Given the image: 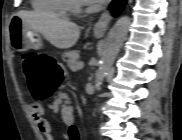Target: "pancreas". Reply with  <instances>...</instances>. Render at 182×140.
I'll return each mask as SVG.
<instances>
[{
	"label": "pancreas",
	"instance_id": "pancreas-1",
	"mask_svg": "<svg viewBox=\"0 0 182 140\" xmlns=\"http://www.w3.org/2000/svg\"><path fill=\"white\" fill-rule=\"evenodd\" d=\"M78 57H79V51H71L66 53L63 56V59H65L67 61L68 67L73 70L76 71L78 69Z\"/></svg>",
	"mask_w": 182,
	"mask_h": 140
}]
</instances>
